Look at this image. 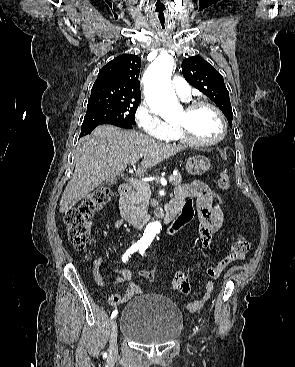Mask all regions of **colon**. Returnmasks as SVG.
Wrapping results in <instances>:
<instances>
[{"mask_svg":"<svg viewBox=\"0 0 295 367\" xmlns=\"http://www.w3.org/2000/svg\"><path fill=\"white\" fill-rule=\"evenodd\" d=\"M217 185L221 190H229L231 187L230 177L226 171L219 174L217 178ZM215 201L217 205L224 206L226 201L223 199L224 195L218 193L216 190ZM111 198V191L108 188H98L91 192L77 207L68 210L64 217V222L67 229V236L72 245L80 250H84L90 239V227L95 212L103 208ZM194 196L187 195L185 197L184 206H181L182 216L179 220L178 225L184 224L188 221H193L196 206L194 205ZM166 230L167 237L166 241L168 246L173 244L171 240L174 235L178 234V229L175 228L174 224H171ZM250 243L243 236H239L232 244L231 252L221 259L217 266L220 269H224L227 265L235 261H241L244 259L246 254L249 252ZM152 269L144 270L141 272V276L146 280H152L154 276V270L158 269V264H152Z\"/></svg>","mask_w":295,"mask_h":367,"instance_id":"colon-1","label":"colon"}]
</instances>
